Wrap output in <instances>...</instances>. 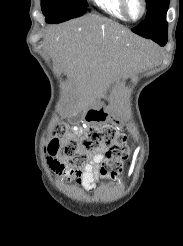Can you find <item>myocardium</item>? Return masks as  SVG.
Returning a JSON list of instances; mask_svg holds the SVG:
<instances>
[{
	"label": "myocardium",
	"mask_w": 183,
	"mask_h": 246,
	"mask_svg": "<svg viewBox=\"0 0 183 246\" xmlns=\"http://www.w3.org/2000/svg\"><path fill=\"white\" fill-rule=\"evenodd\" d=\"M130 2H131V0H121L123 13H124L125 17L127 18V20L132 21V22H137V21L141 20L144 17V15L146 14V11H147L146 1L145 0H138L140 7H141V11H140V14L137 18H133L129 13Z\"/></svg>",
	"instance_id": "1"
}]
</instances>
